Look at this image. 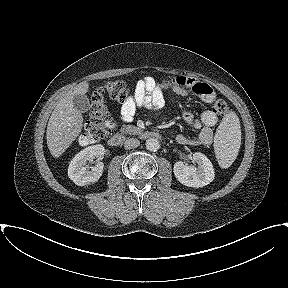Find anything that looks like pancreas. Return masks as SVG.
<instances>
[{
  "instance_id": "cf45deb5",
  "label": "pancreas",
  "mask_w": 288,
  "mask_h": 288,
  "mask_svg": "<svg viewBox=\"0 0 288 288\" xmlns=\"http://www.w3.org/2000/svg\"><path fill=\"white\" fill-rule=\"evenodd\" d=\"M138 131H140V129L135 127L134 125H123L121 128L122 133L135 134Z\"/></svg>"
}]
</instances>
